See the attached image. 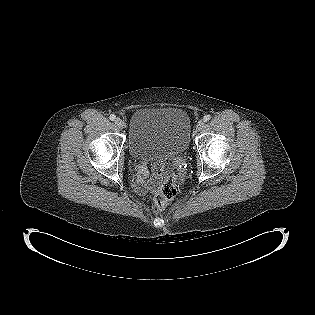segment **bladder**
<instances>
[{"mask_svg":"<svg viewBox=\"0 0 315 315\" xmlns=\"http://www.w3.org/2000/svg\"><path fill=\"white\" fill-rule=\"evenodd\" d=\"M190 139V119L180 108H141L131 117L128 148L135 159H163L182 154L188 149Z\"/></svg>","mask_w":315,"mask_h":315,"instance_id":"bladder-1","label":"bladder"}]
</instances>
